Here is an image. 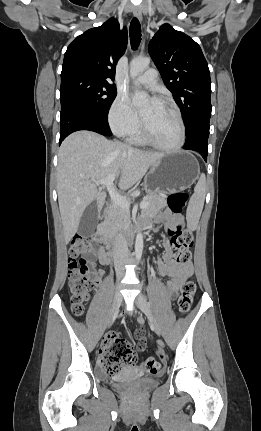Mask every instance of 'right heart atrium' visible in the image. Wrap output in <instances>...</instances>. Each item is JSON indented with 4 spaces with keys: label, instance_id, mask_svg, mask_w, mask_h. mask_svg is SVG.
<instances>
[{
    "label": "right heart atrium",
    "instance_id": "right-heart-atrium-1",
    "mask_svg": "<svg viewBox=\"0 0 261 431\" xmlns=\"http://www.w3.org/2000/svg\"><path fill=\"white\" fill-rule=\"evenodd\" d=\"M108 121L112 131L118 135H132L140 127L139 119L124 94H118L112 102Z\"/></svg>",
    "mask_w": 261,
    "mask_h": 431
}]
</instances>
